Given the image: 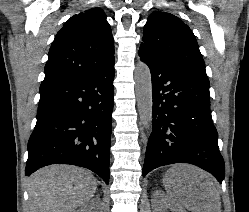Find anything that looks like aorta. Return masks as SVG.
Listing matches in <instances>:
<instances>
[{
  "label": "aorta",
  "instance_id": "aorta-1",
  "mask_svg": "<svg viewBox=\"0 0 249 212\" xmlns=\"http://www.w3.org/2000/svg\"><path fill=\"white\" fill-rule=\"evenodd\" d=\"M134 79L140 122L147 127L152 121L153 99L151 73L145 63L139 62L136 65Z\"/></svg>",
  "mask_w": 249,
  "mask_h": 212
}]
</instances>
